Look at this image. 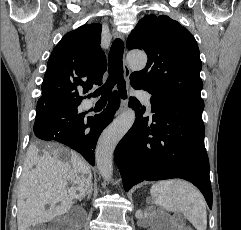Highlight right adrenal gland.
I'll list each match as a JSON object with an SVG mask.
<instances>
[{"label":"right adrenal gland","instance_id":"1","mask_svg":"<svg viewBox=\"0 0 241 230\" xmlns=\"http://www.w3.org/2000/svg\"><path fill=\"white\" fill-rule=\"evenodd\" d=\"M92 183L88 189V191L79 199V201H82L86 196H87V199L89 200L90 197H91V194H92V190H93V187H92Z\"/></svg>","mask_w":241,"mask_h":230}]
</instances>
